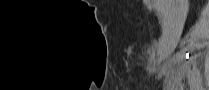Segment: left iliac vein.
<instances>
[{
    "label": "left iliac vein",
    "mask_w": 209,
    "mask_h": 90,
    "mask_svg": "<svg viewBox=\"0 0 209 90\" xmlns=\"http://www.w3.org/2000/svg\"><path fill=\"white\" fill-rule=\"evenodd\" d=\"M189 82H190V85L192 86V87H195L196 85H195V78L194 77H190L189 78Z\"/></svg>",
    "instance_id": "left-iliac-vein-1"
}]
</instances>
